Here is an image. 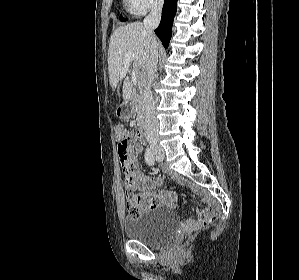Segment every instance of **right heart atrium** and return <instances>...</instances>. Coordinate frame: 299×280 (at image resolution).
<instances>
[{"mask_svg":"<svg viewBox=\"0 0 299 280\" xmlns=\"http://www.w3.org/2000/svg\"><path fill=\"white\" fill-rule=\"evenodd\" d=\"M131 8L138 14H144L162 5L163 0H128Z\"/></svg>","mask_w":299,"mask_h":280,"instance_id":"1","label":"right heart atrium"}]
</instances>
